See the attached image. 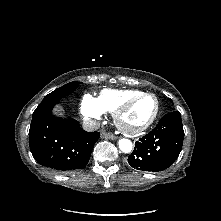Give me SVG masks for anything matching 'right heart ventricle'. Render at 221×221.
Here are the masks:
<instances>
[{
	"label": "right heart ventricle",
	"instance_id": "1",
	"mask_svg": "<svg viewBox=\"0 0 221 221\" xmlns=\"http://www.w3.org/2000/svg\"><path fill=\"white\" fill-rule=\"evenodd\" d=\"M142 93L139 90L125 89H104L96 98L99 107L103 112H114L126 99Z\"/></svg>",
	"mask_w": 221,
	"mask_h": 221
}]
</instances>
